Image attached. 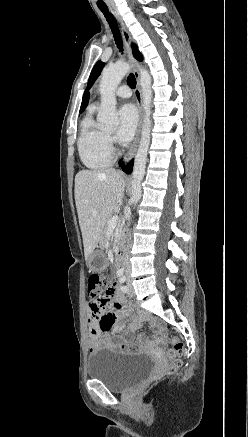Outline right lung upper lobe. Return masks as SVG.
<instances>
[{
  "instance_id": "right-lung-upper-lobe-1",
  "label": "right lung upper lobe",
  "mask_w": 248,
  "mask_h": 437,
  "mask_svg": "<svg viewBox=\"0 0 248 437\" xmlns=\"http://www.w3.org/2000/svg\"><path fill=\"white\" fill-rule=\"evenodd\" d=\"M88 99H89V93L84 94L83 99H82L81 108H80V113H82L84 111V109L86 108L87 103H88Z\"/></svg>"
}]
</instances>
